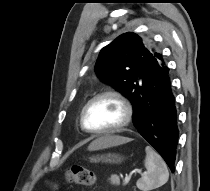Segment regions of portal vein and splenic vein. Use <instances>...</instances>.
<instances>
[{
  "label": "portal vein and splenic vein",
  "mask_w": 210,
  "mask_h": 191,
  "mask_svg": "<svg viewBox=\"0 0 210 191\" xmlns=\"http://www.w3.org/2000/svg\"><path fill=\"white\" fill-rule=\"evenodd\" d=\"M135 172H138L141 174L140 170H136ZM131 176H125L124 180H123V184L126 185L129 183Z\"/></svg>",
  "instance_id": "18ae733b"
}]
</instances>
